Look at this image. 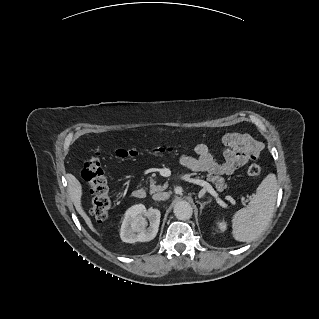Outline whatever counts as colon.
<instances>
[{"mask_svg":"<svg viewBox=\"0 0 319 319\" xmlns=\"http://www.w3.org/2000/svg\"><path fill=\"white\" fill-rule=\"evenodd\" d=\"M183 153H190V148L183 146L180 148ZM154 153H166L174 151V147L170 145H157L150 148ZM115 154L121 158L135 157L139 154V150L133 149H117ZM102 151L94 150L91 155L84 161L82 165L81 175L88 183L92 194L91 214L97 221H105L111 209V191L102 165ZM247 172L250 176H259L261 168L257 164L248 167Z\"/></svg>","mask_w":319,"mask_h":319,"instance_id":"colon-1","label":"colon"}]
</instances>
